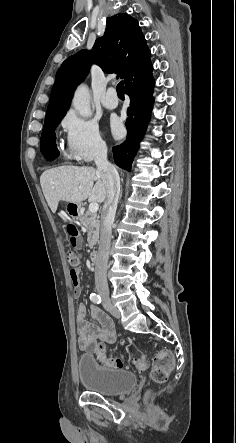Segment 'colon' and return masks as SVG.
Returning a JSON list of instances; mask_svg holds the SVG:
<instances>
[{
  "instance_id": "1",
  "label": "colon",
  "mask_w": 236,
  "mask_h": 443,
  "mask_svg": "<svg viewBox=\"0 0 236 443\" xmlns=\"http://www.w3.org/2000/svg\"><path fill=\"white\" fill-rule=\"evenodd\" d=\"M66 233L69 241L72 244H76L78 242L79 232L74 224L70 223L66 226ZM66 258L71 267L70 277L72 283H77L78 276L76 270L78 269V266L80 264V254L76 250L69 249L66 252ZM92 353L96 356L97 360L101 364L107 367L119 368V369L128 368V366L124 363L121 357L108 356L106 353L105 346L102 343H97L94 346ZM173 364H174V358L172 353L168 351H162L156 354L152 361V369L150 373L151 380L159 384L164 383L168 378L169 372L173 368ZM132 365L138 371H145L148 367V361L146 355L141 354L135 357L133 359Z\"/></svg>"
}]
</instances>
